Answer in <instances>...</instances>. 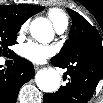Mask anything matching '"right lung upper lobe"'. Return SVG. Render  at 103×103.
Instances as JSON below:
<instances>
[{
  "instance_id": "obj_1",
  "label": "right lung upper lobe",
  "mask_w": 103,
  "mask_h": 103,
  "mask_svg": "<svg viewBox=\"0 0 103 103\" xmlns=\"http://www.w3.org/2000/svg\"><path fill=\"white\" fill-rule=\"evenodd\" d=\"M44 6L38 5H0V17L12 23L22 25L29 17L42 11Z\"/></svg>"
}]
</instances>
